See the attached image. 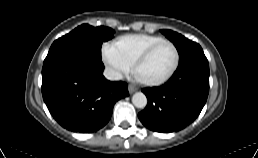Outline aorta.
<instances>
[{
  "label": "aorta",
  "mask_w": 258,
  "mask_h": 158,
  "mask_svg": "<svg viewBox=\"0 0 258 158\" xmlns=\"http://www.w3.org/2000/svg\"><path fill=\"white\" fill-rule=\"evenodd\" d=\"M132 102L137 108H144L147 105V98L142 92H136L132 97Z\"/></svg>",
  "instance_id": "obj_1"
}]
</instances>
